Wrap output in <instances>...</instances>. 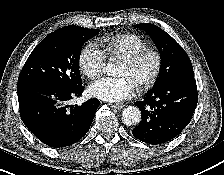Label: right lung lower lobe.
<instances>
[{
  "label": "right lung lower lobe",
  "instance_id": "obj_1",
  "mask_svg": "<svg viewBox=\"0 0 224 175\" xmlns=\"http://www.w3.org/2000/svg\"><path fill=\"white\" fill-rule=\"evenodd\" d=\"M81 85L63 87L43 81L17 83L20 116L26 127L42 143L66 147L80 140L89 130L100 101L96 98L82 105H69L82 95Z\"/></svg>",
  "mask_w": 224,
  "mask_h": 175
}]
</instances>
